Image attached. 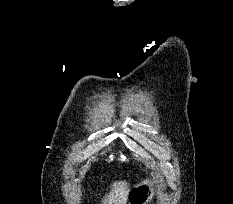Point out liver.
Returning a JSON list of instances; mask_svg holds the SVG:
<instances>
[{"label":"liver","mask_w":233,"mask_h":204,"mask_svg":"<svg viewBox=\"0 0 233 204\" xmlns=\"http://www.w3.org/2000/svg\"><path fill=\"white\" fill-rule=\"evenodd\" d=\"M129 184L126 181L113 182L110 193L103 200L104 204H126Z\"/></svg>","instance_id":"6515ba94"}]
</instances>
